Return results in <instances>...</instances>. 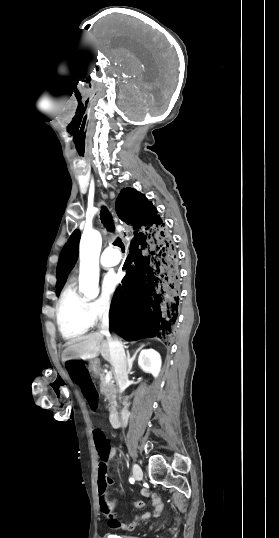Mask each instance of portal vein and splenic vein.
Listing matches in <instances>:
<instances>
[{"label":"portal vein and splenic vein","instance_id":"18ae733b","mask_svg":"<svg viewBox=\"0 0 279 538\" xmlns=\"http://www.w3.org/2000/svg\"><path fill=\"white\" fill-rule=\"evenodd\" d=\"M110 378H112V374H111V372H107V374L105 376L106 383H109Z\"/></svg>","mask_w":279,"mask_h":538}]
</instances>
